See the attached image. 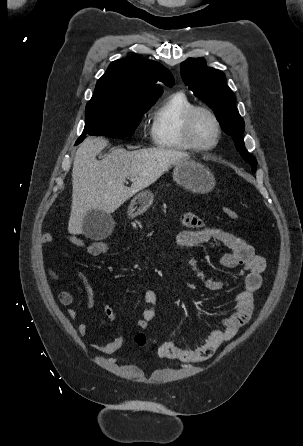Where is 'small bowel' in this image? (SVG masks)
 I'll return each instance as SVG.
<instances>
[{
    "label": "small bowel",
    "mask_w": 303,
    "mask_h": 446,
    "mask_svg": "<svg viewBox=\"0 0 303 446\" xmlns=\"http://www.w3.org/2000/svg\"><path fill=\"white\" fill-rule=\"evenodd\" d=\"M182 224L184 229L175 237V245L179 251L182 252L187 248L216 240L228 249L220 259L221 265L229 269L241 268L242 271L243 289L235 297L234 310L221 320L219 326L212 329L201 346L190 349L173 342H163L157 345L158 354L162 358L177 359L182 362H200L210 358L224 342L234 338L238 331L250 320L254 310V295L262 284V273L266 269V260L264 257L257 255L254 248L244 239L220 228L207 227L194 214H185L182 217ZM66 239L87 252L94 245V243H85L74 234H67ZM52 240L53 236L50 233H43L40 237L42 244H48ZM184 263L208 290L218 291L224 287L223 282L206 278L197 268L196 262L192 257L184 256ZM49 273L55 281L60 280L59 274L54 269L50 268ZM77 278L86 293L88 306L94 308L95 296L91 285L83 273L78 272ZM157 298V292L154 289L145 291L146 307L142 312L141 318L137 321L138 328L146 329L154 319ZM58 300L63 306H70L73 303V294L68 290L60 291ZM104 314L108 320H115V313L110 305L104 307ZM67 315L70 319L78 318V312L73 308L67 310ZM88 331L89 325L87 323H81L77 326V332L80 336H85ZM123 343V337H118L109 342H95L90 344V346L103 354H112L120 349Z\"/></svg>",
    "instance_id": "obj_1"
}]
</instances>
